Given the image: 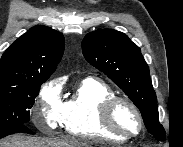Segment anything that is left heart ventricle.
Instances as JSON below:
<instances>
[{
    "mask_svg": "<svg viewBox=\"0 0 183 147\" xmlns=\"http://www.w3.org/2000/svg\"><path fill=\"white\" fill-rule=\"evenodd\" d=\"M113 121L120 130L129 134L137 133L140 127L137 115L124 103H118L115 106Z\"/></svg>",
    "mask_w": 183,
    "mask_h": 147,
    "instance_id": "1",
    "label": "left heart ventricle"
}]
</instances>
